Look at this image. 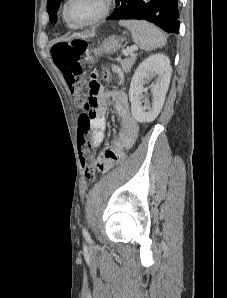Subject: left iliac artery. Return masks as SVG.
<instances>
[{"label":"left iliac artery","instance_id":"1","mask_svg":"<svg viewBox=\"0 0 227 298\" xmlns=\"http://www.w3.org/2000/svg\"><path fill=\"white\" fill-rule=\"evenodd\" d=\"M83 235L85 238H89V233L85 228L83 229Z\"/></svg>","mask_w":227,"mask_h":298}]
</instances>
